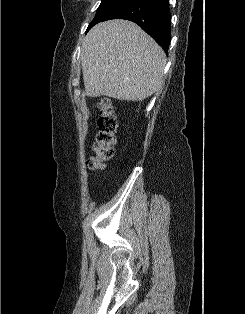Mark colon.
Returning <instances> with one entry per match:
<instances>
[{
    "instance_id": "obj_1",
    "label": "colon",
    "mask_w": 245,
    "mask_h": 314,
    "mask_svg": "<svg viewBox=\"0 0 245 314\" xmlns=\"http://www.w3.org/2000/svg\"><path fill=\"white\" fill-rule=\"evenodd\" d=\"M100 118L98 121L99 131L94 144L95 156L88 161L89 170L92 172L102 171L106 161L114 154L115 132L117 129L116 118L113 113L111 101L103 97L98 102Z\"/></svg>"
}]
</instances>
